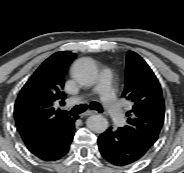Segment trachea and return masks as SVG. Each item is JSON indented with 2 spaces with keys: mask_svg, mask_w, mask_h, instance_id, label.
<instances>
[{
  "mask_svg": "<svg viewBox=\"0 0 184 173\" xmlns=\"http://www.w3.org/2000/svg\"><path fill=\"white\" fill-rule=\"evenodd\" d=\"M87 107L93 110H97L98 112H103L102 106L98 102H91L89 106L86 104H80L72 108L70 112H68L70 115H77L87 110Z\"/></svg>",
  "mask_w": 184,
  "mask_h": 173,
  "instance_id": "3493384b",
  "label": "trachea"
}]
</instances>
